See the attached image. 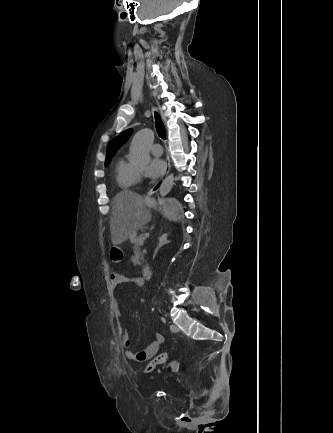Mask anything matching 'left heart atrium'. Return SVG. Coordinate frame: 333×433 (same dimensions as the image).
I'll return each mask as SVG.
<instances>
[{
  "instance_id": "left-heart-atrium-1",
  "label": "left heart atrium",
  "mask_w": 333,
  "mask_h": 433,
  "mask_svg": "<svg viewBox=\"0 0 333 433\" xmlns=\"http://www.w3.org/2000/svg\"><path fill=\"white\" fill-rule=\"evenodd\" d=\"M165 170V162L160 157H153L150 159L146 168V175L150 178L159 177Z\"/></svg>"
}]
</instances>
